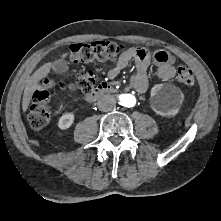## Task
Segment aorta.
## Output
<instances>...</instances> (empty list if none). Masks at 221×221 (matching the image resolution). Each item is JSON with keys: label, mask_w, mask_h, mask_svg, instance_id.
I'll return each mask as SVG.
<instances>
[{"label": "aorta", "mask_w": 221, "mask_h": 221, "mask_svg": "<svg viewBox=\"0 0 221 221\" xmlns=\"http://www.w3.org/2000/svg\"><path fill=\"white\" fill-rule=\"evenodd\" d=\"M121 104L125 107H133L136 104V98L131 94H123L120 96Z\"/></svg>", "instance_id": "762f6f07"}]
</instances>
